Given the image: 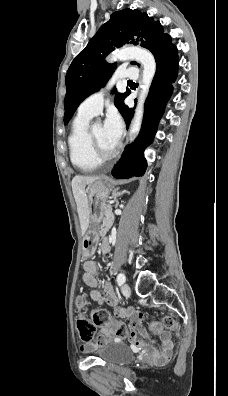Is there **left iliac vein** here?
<instances>
[{
  "label": "left iliac vein",
  "instance_id": "left-iliac-vein-1",
  "mask_svg": "<svg viewBox=\"0 0 228 396\" xmlns=\"http://www.w3.org/2000/svg\"><path fill=\"white\" fill-rule=\"evenodd\" d=\"M121 290H122V293H123L124 296H129L130 293H131L130 287H129V285L127 283L122 285Z\"/></svg>",
  "mask_w": 228,
  "mask_h": 396
}]
</instances>
